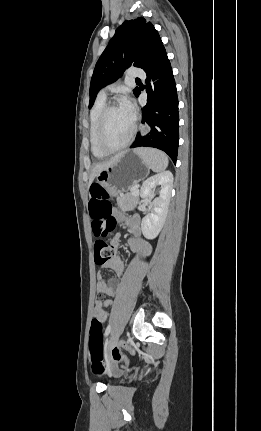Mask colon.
<instances>
[{
	"label": "colon",
	"instance_id": "5ec220e1",
	"mask_svg": "<svg viewBox=\"0 0 261 431\" xmlns=\"http://www.w3.org/2000/svg\"><path fill=\"white\" fill-rule=\"evenodd\" d=\"M89 214L92 219V230L98 238L95 242L94 258L97 265H101L111 259L115 253L112 246L108 245L102 238L108 236L115 228L116 222L112 216V206L109 201L105 189L98 183L92 184L89 191ZM97 302H102L101 294L97 298ZM102 333L103 322L94 318L90 328L89 350L92 360V367L95 372H98L96 378L101 380L103 375L101 372L105 370L102 356ZM134 345L132 343H117L111 354H108L106 371L111 373L114 379L120 376V371H123V366L130 364L128 357H123L122 348L126 352H130Z\"/></svg>",
	"mask_w": 261,
	"mask_h": 431
}]
</instances>
